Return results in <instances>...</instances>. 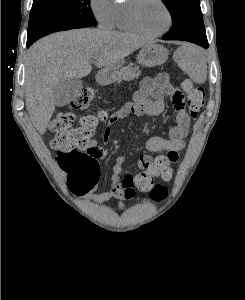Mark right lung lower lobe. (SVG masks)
Masks as SVG:
<instances>
[{
	"mask_svg": "<svg viewBox=\"0 0 245 300\" xmlns=\"http://www.w3.org/2000/svg\"><path fill=\"white\" fill-rule=\"evenodd\" d=\"M33 42L27 41V46L29 47Z\"/></svg>",
	"mask_w": 245,
	"mask_h": 300,
	"instance_id": "right-lung-lower-lobe-1",
	"label": "right lung lower lobe"
}]
</instances>
